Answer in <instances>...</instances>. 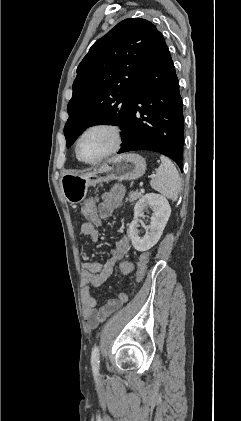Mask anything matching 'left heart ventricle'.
Returning <instances> with one entry per match:
<instances>
[{"instance_id":"b2bd125f","label":"left heart ventricle","mask_w":241,"mask_h":421,"mask_svg":"<svg viewBox=\"0 0 241 421\" xmlns=\"http://www.w3.org/2000/svg\"><path fill=\"white\" fill-rule=\"evenodd\" d=\"M112 145L111 134L103 129L87 133L80 142L79 153L85 160H94L105 153Z\"/></svg>"}]
</instances>
